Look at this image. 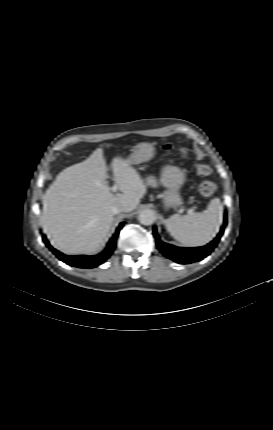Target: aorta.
Segmentation results:
<instances>
[{
    "label": "aorta",
    "mask_w": 273,
    "mask_h": 430,
    "mask_svg": "<svg viewBox=\"0 0 273 430\" xmlns=\"http://www.w3.org/2000/svg\"><path fill=\"white\" fill-rule=\"evenodd\" d=\"M138 220L143 225H151L156 220V214L151 209L141 211L138 216Z\"/></svg>",
    "instance_id": "obj_1"
}]
</instances>
